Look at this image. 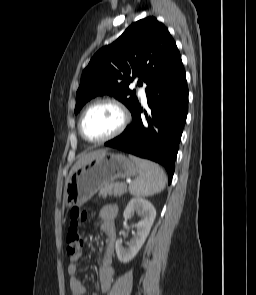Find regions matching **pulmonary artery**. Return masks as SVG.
<instances>
[{"mask_svg": "<svg viewBox=\"0 0 256 295\" xmlns=\"http://www.w3.org/2000/svg\"><path fill=\"white\" fill-rule=\"evenodd\" d=\"M139 95L143 103H146L147 101V96H146V90L145 86L140 87L139 89Z\"/></svg>", "mask_w": 256, "mask_h": 295, "instance_id": "1", "label": "pulmonary artery"}]
</instances>
